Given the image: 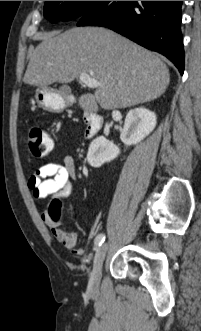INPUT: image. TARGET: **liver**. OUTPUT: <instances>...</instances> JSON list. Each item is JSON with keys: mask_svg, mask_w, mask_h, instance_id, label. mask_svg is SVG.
<instances>
[{"mask_svg": "<svg viewBox=\"0 0 201 331\" xmlns=\"http://www.w3.org/2000/svg\"><path fill=\"white\" fill-rule=\"evenodd\" d=\"M87 73L101 86L79 97L87 112L122 109L160 97L170 83L167 66L152 52L104 28L47 34L30 58L23 82L47 87Z\"/></svg>", "mask_w": 201, "mask_h": 331, "instance_id": "obj_1", "label": "liver"}]
</instances>
